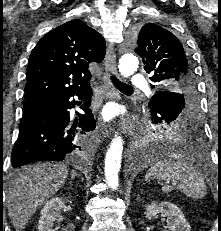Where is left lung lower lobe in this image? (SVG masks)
Instances as JSON below:
<instances>
[{
	"label": "left lung lower lobe",
	"instance_id": "left-lung-lower-lobe-1",
	"mask_svg": "<svg viewBox=\"0 0 221 231\" xmlns=\"http://www.w3.org/2000/svg\"><path fill=\"white\" fill-rule=\"evenodd\" d=\"M151 101H155L158 105H166L168 102L174 105L175 98L172 92L159 91L152 97ZM173 113L167 112L159 116L158 120H155L157 124L170 123L177 117H172ZM165 142L174 144L184 149L185 152H190L192 155H198L203 150L202 147V127L200 121L197 118H191L189 122L180 127L179 129L172 130L165 135ZM159 150L154 151L153 155L158 154Z\"/></svg>",
	"mask_w": 221,
	"mask_h": 231
}]
</instances>
